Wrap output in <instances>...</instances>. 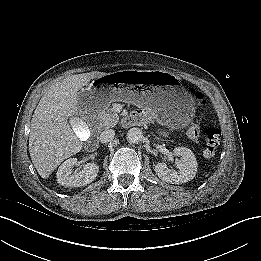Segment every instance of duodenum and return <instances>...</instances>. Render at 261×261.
<instances>
[{
    "mask_svg": "<svg viewBox=\"0 0 261 261\" xmlns=\"http://www.w3.org/2000/svg\"><path fill=\"white\" fill-rule=\"evenodd\" d=\"M99 119L97 117H94L92 119H90V125L91 127L93 128V130L95 132H97L99 130ZM97 145V141L95 139H91L89 142H88V146L89 148H93Z\"/></svg>",
    "mask_w": 261,
    "mask_h": 261,
    "instance_id": "1",
    "label": "duodenum"
}]
</instances>
